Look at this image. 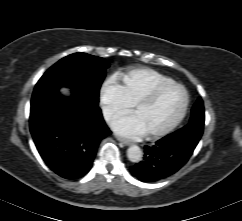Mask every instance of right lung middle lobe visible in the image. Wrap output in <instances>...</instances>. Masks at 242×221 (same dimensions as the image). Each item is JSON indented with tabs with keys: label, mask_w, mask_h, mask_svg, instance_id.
I'll return each mask as SVG.
<instances>
[{
	"label": "right lung middle lobe",
	"mask_w": 242,
	"mask_h": 221,
	"mask_svg": "<svg viewBox=\"0 0 242 221\" xmlns=\"http://www.w3.org/2000/svg\"><path fill=\"white\" fill-rule=\"evenodd\" d=\"M109 63L86 53L71 54L48 69L35 86L32 100L55 95L62 86L72 89L91 105L99 103V89Z\"/></svg>",
	"instance_id": "obj_1"
}]
</instances>
